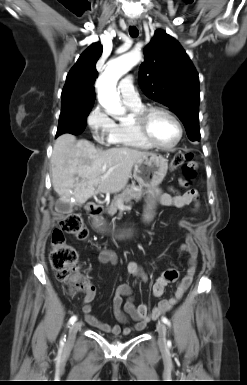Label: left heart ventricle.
<instances>
[{"label": "left heart ventricle", "instance_id": "obj_1", "mask_svg": "<svg viewBox=\"0 0 247 385\" xmlns=\"http://www.w3.org/2000/svg\"><path fill=\"white\" fill-rule=\"evenodd\" d=\"M149 131L152 138L161 145L172 144L178 136V130L173 120L162 113H155L151 117Z\"/></svg>", "mask_w": 247, "mask_h": 385}]
</instances>
